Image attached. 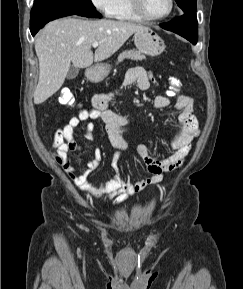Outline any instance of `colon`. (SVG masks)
Segmentation results:
<instances>
[{
  "label": "colon",
  "instance_id": "5ec220e1",
  "mask_svg": "<svg viewBox=\"0 0 243 289\" xmlns=\"http://www.w3.org/2000/svg\"><path fill=\"white\" fill-rule=\"evenodd\" d=\"M181 87H182V83L179 78L177 77L169 78V91H168L169 95L171 96L175 95L177 92L180 91ZM59 102L62 105H67V106H71L75 103V97L70 89L63 88L60 91Z\"/></svg>",
  "mask_w": 243,
  "mask_h": 289
}]
</instances>
